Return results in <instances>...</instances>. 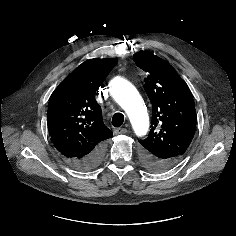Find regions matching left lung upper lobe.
<instances>
[{"label":"left lung upper lobe","mask_w":236,"mask_h":236,"mask_svg":"<svg viewBox=\"0 0 236 236\" xmlns=\"http://www.w3.org/2000/svg\"><path fill=\"white\" fill-rule=\"evenodd\" d=\"M133 60L148 75L145 88L152 103L151 130L147 138L139 140L141 159L146 168L160 172L162 162L177 163L193 139L197 122L194 99L168 62L146 51L134 54Z\"/></svg>","instance_id":"5c2ea615"}]
</instances>
